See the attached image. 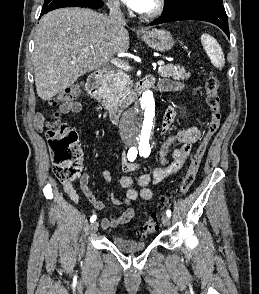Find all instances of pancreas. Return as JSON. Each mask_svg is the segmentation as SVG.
Here are the masks:
<instances>
[{"mask_svg": "<svg viewBox=\"0 0 259 294\" xmlns=\"http://www.w3.org/2000/svg\"><path fill=\"white\" fill-rule=\"evenodd\" d=\"M158 73L162 77H172L175 80H185L190 78V73L184 67L174 64L161 66ZM132 87V80L126 70L118 69L113 72L107 79L104 86L105 106L111 108L115 105H128L132 101V96H129Z\"/></svg>", "mask_w": 259, "mask_h": 294, "instance_id": "1", "label": "pancreas"}]
</instances>
